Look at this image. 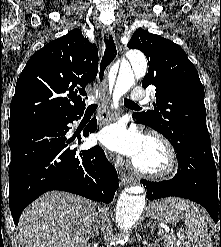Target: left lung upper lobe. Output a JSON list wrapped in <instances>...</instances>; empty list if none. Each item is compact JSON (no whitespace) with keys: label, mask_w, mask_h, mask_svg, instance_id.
<instances>
[{"label":"left lung upper lobe","mask_w":221,"mask_h":247,"mask_svg":"<svg viewBox=\"0 0 221 247\" xmlns=\"http://www.w3.org/2000/svg\"><path fill=\"white\" fill-rule=\"evenodd\" d=\"M127 47L142 51L148 59L142 86L156 87L154 110L138 114L137 119L165 136L176 151L188 147L195 138L209 135L204 88L183 49L142 28L134 32Z\"/></svg>","instance_id":"left-lung-upper-lobe-1"}]
</instances>
